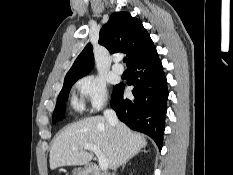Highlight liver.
Wrapping results in <instances>:
<instances>
[{
	"instance_id": "liver-1",
	"label": "liver",
	"mask_w": 233,
	"mask_h": 175,
	"mask_svg": "<svg viewBox=\"0 0 233 175\" xmlns=\"http://www.w3.org/2000/svg\"><path fill=\"white\" fill-rule=\"evenodd\" d=\"M85 144L98 146L109 167L115 169L137 154L147 141L142 134L133 132L121 122L115 130L105 117H88L66 127L53 140L50 169L88 164L93 154L81 148Z\"/></svg>"
}]
</instances>
